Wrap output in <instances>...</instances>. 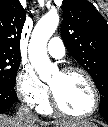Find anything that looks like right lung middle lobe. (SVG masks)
<instances>
[{
    "instance_id": "right-lung-middle-lobe-1",
    "label": "right lung middle lobe",
    "mask_w": 108,
    "mask_h": 127,
    "mask_svg": "<svg viewBox=\"0 0 108 127\" xmlns=\"http://www.w3.org/2000/svg\"><path fill=\"white\" fill-rule=\"evenodd\" d=\"M21 55L0 52V84L14 88Z\"/></svg>"
}]
</instances>
